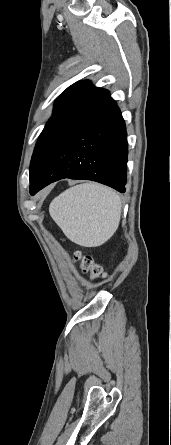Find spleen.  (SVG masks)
I'll return each instance as SVG.
<instances>
[{
	"label": "spleen",
	"instance_id": "spleen-1",
	"mask_svg": "<svg viewBox=\"0 0 171 445\" xmlns=\"http://www.w3.org/2000/svg\"><path fill=\"white\" fill-rule=\"evenodd\" d=\"M49 213L65 236L84 247L104 244L116 232L121 216L120 196L111 188L84 183L54 198Z\"/></svg>",
	"mask_w": 171,
	"mask_h": 445
}]
</instances>
